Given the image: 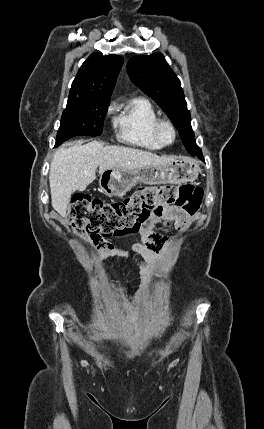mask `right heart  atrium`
I'll use <instances>...</instances> for the list:
<instances>
[{"label":"right heart atrium","instance_id":"1","mask_svg":"<svg viewBox=\"0 0 264 429\" xmlns=\"http://www.w3.org/2000/svg\"><path fill=\"white\" fill-rule=\"evenodd\" d=\"M113 108H114V104H111V105L109 106V108H108V111L113 110Z\"/></svg>","mask_w":264,"mask_h":429}]
</instances>
